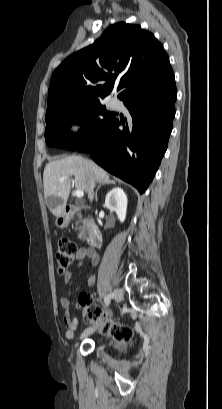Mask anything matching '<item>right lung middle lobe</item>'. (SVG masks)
Listing matches in <instances>:
<instances>
[{"label": "right lung middle lobe", "instance_id": "obj_1", "mask_svg": "<svg viewBox=\"0 0 222 409\" xmlns=\"http://www.w3.org/2000/svg\"><path fill=\"white\" fill-rule=\"evenodd\" d=\"M115 116L100 102L71 104L46 112L45 140L48 146L77 150L89 148L103 140ZM73 123L83 125L84 130L75 134L69 127Z\"/></svg>", "mask_w": 222, "mask_h": 409}]
</instances>
